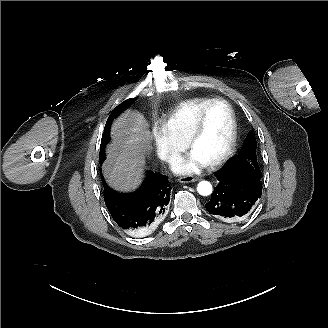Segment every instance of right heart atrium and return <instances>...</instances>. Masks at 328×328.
I'll return each mask as SVG.
<instances>
[{
  "label": "right heart atrium",
  "instance_id": "obj_1",
  "mask_svg": "<svg viewBox=\"0 0 328 328\" xmlns=\"http://www.w3.org/2000/svg\"><path fill=\"white\" fill-rule=\"evenodd\" d=\"M158 157L164 162L171 164L185 150V145L172 139L163 126L154 122L148 131Z\"/></svg>",
  "mask_w": 328,
  "mask_h": 328
}]
</instances>
